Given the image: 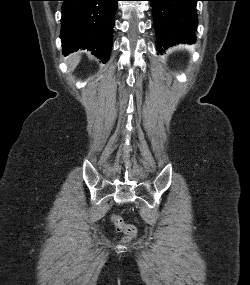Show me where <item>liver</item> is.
Returning <instances> with one entry per match:
<instances>
[{"label": "liver", "instance_id": "1", "mask_svg": "<svg viewBox=\"0 0 250 285\" xmlns=\"http://www.w3.org/2000/svg\"><path fill=\"white\" fill-rule=\"evenodd\" d=\"M79 61H80L79 55L71 56L70 59L68 60L70 69L73 70L78 65Z\"/></svg>", "mask_w": 250, "mask_h": 285}]
</instances>
